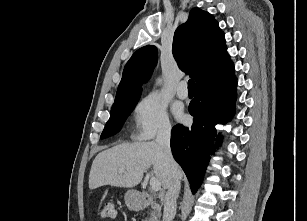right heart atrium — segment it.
Listing matches in <instances>:
<instances>
[{
  "mask_svg": "<svg viewBox=\"0 0 307 221\" xmlns=\"http://www.w3.org/2000/svg\"><path fill=\"white\" fill-rule=\"evenodd\" d=\"M135 137L139 140H150L171 132L172 126L166 104L156 94L143 97L134 108Z\"/></svg>",
  "mask_w": 307,
  "mask_h": 221,
  "instance_id": "d8ad5b80",
  "label": "right heart atrium"
}]
</instances>
